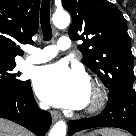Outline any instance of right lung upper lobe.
Here are the masks:
<instances>
[{"label":"right lung upper lobe","instance_id":"obj_1","mask_svg":"<svg viewBox=\"0 0 136 136\" xmlns=\"http://www.w3.org/2000/svg\"><path fill=\"white\" fill-rule=\"evenodd\" d=\"M40 0H0V64L22 56L19 44L32 43L39 27Z\"/></svg>","mask_w":136,"mask_h":136}]
</instances>
